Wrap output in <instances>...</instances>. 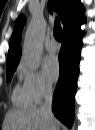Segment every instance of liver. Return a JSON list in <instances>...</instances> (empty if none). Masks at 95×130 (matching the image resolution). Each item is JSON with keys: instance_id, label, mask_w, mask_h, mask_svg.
<instances>
[{"instance_id": "liver-1", "label": "liver", "mask_w": 95, "mask_h": 130, "mask_svg": "<svg viewBox=\"0 0 95 130\" xmlns=\"http://www.w3.org/2000/svg\"><path fill=\"white\" fill-rule=\"evenodd\" d=\"M3 130H60L57 119L48 118L38 108L11 109L4 118Z\"/></svg>"}]
</instances>
